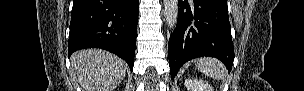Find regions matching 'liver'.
<instances>
[{"label": "liver", "mask_w": 304, "mask_h": 91, "mask_svg": "<svg viewBox=\"0 0 304 91\" xmlns=\"http://www.w3.org/2000/svg\"><path fill=\"white\" fill-rule=\"evenodd\" d=\"M127 64L110 52L91 48L71 57V73L83 91H113L124 79Z\"/></svg>", "instance_id": "obj_1"}]
</instances>
